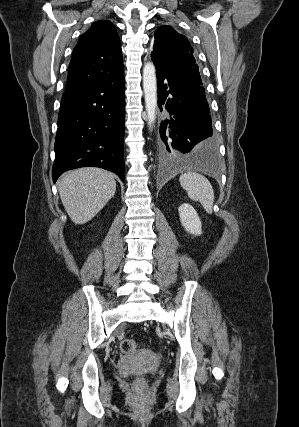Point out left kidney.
Masks as SVG:
<instances>
[{"mask_svg": "<svg viewBox=\"0 0 299 427\" xmlns=\"http://www.w3.org/2000/svg\"><path fill=\"white\" fill-rule=\"evenodd\" d=\"M179 217L185 230L193 235L202 234V225L195 209L187 203L182 204L179 208Z\"/></svg>", "mask_w": 299, "mask_h": 427, "instance_id": "obj_1", "label": "left kidney"}]
</instances>
